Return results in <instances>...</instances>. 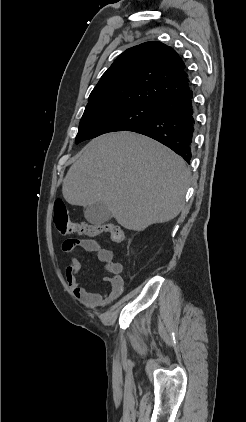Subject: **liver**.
<instances>
[{
    "mask_svg": "<svg viewBox=\"0 0 246 422\" xmlns=\"http://www.w3.org/2000/svg\"><path fill=\"white\" fill-rule=\"evenodd\" d=\"M191 171L161 143L133 132L108 133L78 154L62 185L71 205L104 203L122 227L143 231L184 207Z\"/></svg>",
    "mask_w": 246,
    "mask_h": 422,
    "instance_id": "liver-1",
    "label": "liver"
}]
</instances>
